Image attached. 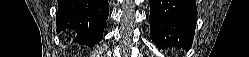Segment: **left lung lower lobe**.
Returning a JSON list of instances; mask_svg holds the SVG:
<instances>
[{
  "mask_svg": "<svg viewBox=\"0 0 249 57\" xmlns=\"http://www.w3.org/2000/svg\"><path fill=\"white\" fill-rule=\"evenodd\" d=\"M150 34L159 48L192 45L197 8L195 0H149Z\"/></svg>",
  "mask_w": 249,
  "mask_h": 57,
  "instance_id": "left-lung-lower-lobe-1",
  "label": "left lung lower lobe"
}]
</instances>
